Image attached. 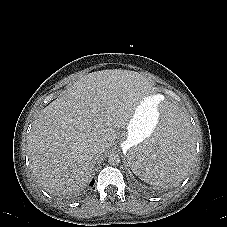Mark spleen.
<instances>
[{"mask_svg": "<svg viewBox=\"0 0 227 227\" xmlns=\"http://www.w3.org/2000/svg\"><path fill=\"white\" fill-rule=\"evenodd\" d=\"M160 117L155 133L128 152L126 163L142 181L168 188L187 177L194 161L195 147L186 113L179 104H164Z\"/></svg>", "mask_w": 227, "mask_h": 227, "instance_id": "spleen-1", "label": "spleen"}]
</instances>
